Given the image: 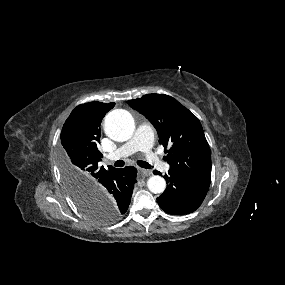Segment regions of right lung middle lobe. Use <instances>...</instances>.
Listing matches in <instances>:
<instances>
[{"label":"right lung middle lobe","instance_id":"1","mask_svg":"<svg viewBox=\"0 0 285 285\" xmlns=\"http://www.w3.org/2000/svg\"><path fill=\"white\" fill-rule=\"evenodd\" d=\"M61 171L65 185L78 209L89 219L98 223H111L118 220L116 211L108 204L96 199L89 189L80 190L78 182L74 179L67 165L61 158Z\"/></svg>","mask_w":285,"mask_h":285}]
</instances>
